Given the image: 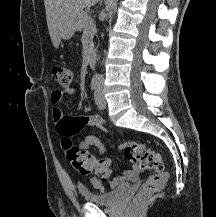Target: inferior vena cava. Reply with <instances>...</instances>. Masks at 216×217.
<instances>
[{
	"label": "inferior vena cava",
	"mask_w": 216,
	"mask_h": 217,
	"mask_svg": "<svg viewBox=\"0 0 216 217\" xmlns=\"http://www.w3.org/2000/svg\"><path fill=\"white\" fill-rule=\"evenodd\" d=\"M98 80H99L100 82H102V81H103V77H102V76H99V77H98Z\"/></svg>",
	"instance_id": "602c4592"
}]
</instances>
